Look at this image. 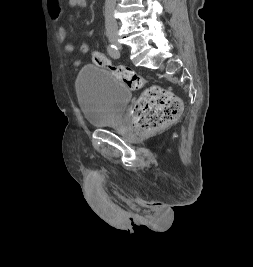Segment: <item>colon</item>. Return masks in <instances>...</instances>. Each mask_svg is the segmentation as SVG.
I'll use <instances>...</instances> for the list:
<instances>
[{"instance_id":"colon-1","label":"colon","mask_w":253,"mask_h":267,"mask_svg":"<svg viewBox=\"0 0 253 267\" xmlns=\"http://www.w3.org/2000/svg\"><path fill=\"white\" fill-rule=\"evenodd\" d=\"M81 54L89 52V46L81 43L78 47ZM93 61L99 67L107 69L117 79L131 89L138 90L144 85V78L131 68L112 63L102 52L95 51ZM182 111V102L168 90L151 86L137 101L132 113L133 124L141 134H151L175 121Z\"/></svg>"}]
</instances>
